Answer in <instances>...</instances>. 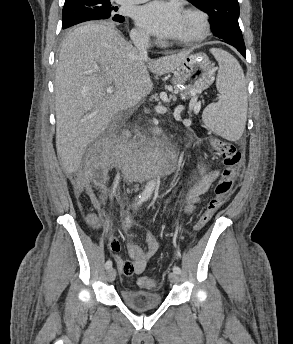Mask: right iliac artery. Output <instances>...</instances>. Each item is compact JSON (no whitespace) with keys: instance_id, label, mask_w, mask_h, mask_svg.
<instances>
[{"instance_id":"82829eb1","label":"right iliac artery","mask_w":293,"mask_h":344,"mask_svg":"<svg viewBox=\"0 0 293 344\" xmlns=\"http://www.w3.org/2000/svg\"><path fill=\"white\" fill-rule=\"evenodd\" d=\"M146 200V197L145 196H139V199L137 200V202L135 203L134 207H138L139 205H141L144 201ZM112 267V261L111 260H108L106 263H105V268L106 269H109Z\"/></svg>"}]
</instances>
